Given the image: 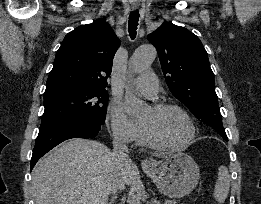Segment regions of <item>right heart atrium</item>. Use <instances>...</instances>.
Returning a JSON list of instances; mask_svg holds the SVG:
<instances>
[{
  "mask_svg": "<svg viewBox=\"0 0 261 204\" xmlns=\"http://www.w3.org/2000/svg\"><path fill=\"white\" fill-rule=\"evenodd\" d=\"M106 125L114 139L126 144L137 141L139 124L128 116L121 103L113 101L109 104Z\"/></svg>",
  "mask_w": 261,
  "mask_h": 204,
  "instance_id": "d8ad5b80",
  "label": "right heart atrium"
}]
</instances>
